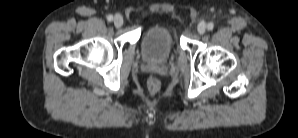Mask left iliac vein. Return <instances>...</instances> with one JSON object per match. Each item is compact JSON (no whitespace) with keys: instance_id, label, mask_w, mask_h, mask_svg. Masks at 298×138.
I'll return each instance as SVG.
<instances>
[{"instance_id":"left-iliac-vein-1","label":"left iliac vein","mask_w":298,"mask_h":138,"mask_svg":"<svg viewBox=\"0 0 298 138\" xmlns=\"http://www.w3.org/2000/svg\"><path fill=\"white\" fill-rule=\"evenodd\" d=\"M206 28H207L206 23L204 21H201L197 26V31L199 34H204L206 31Z\"/></svg>"}]
</instances>
